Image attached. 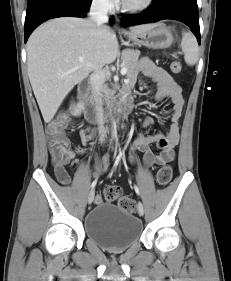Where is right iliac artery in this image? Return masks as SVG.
I'll return each mask as SVG.
<instances>
[{
  "label": "right iliac artery",
  "instance_id": "right-iliac-artery-1",
  "mask_svg": "<svg viewBox=\"0 0 231 281\" xmlns=\"http://www.w3.org/2000/svg\"><path fill=\"white\" fill-rule=\"evenodd\" d=\"M96 183H97V180H94V181L92 182V184H91V188H92V189L95 187Z\"/></svg>",
  "mask_w": 231,
  "mask_h": 281
}]
</instances>
